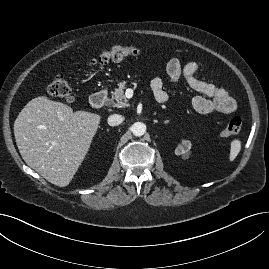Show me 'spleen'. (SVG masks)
<instances>
[{
  "label": "spleen",
  "instance_id": "3e777b00",
  "mask_svg": "<svg viewBox=\"0 0 269 269\" xmlns=\"http://www.w3.org/2000/svg\"><path fill=\"white\" fill-rule=\"evenodd\" d=\"M241 150V141L238 139H234L231 142V148H230V154H229V160L234 161L237 155L239 154Z\"/></svg>",
  "mask_w": 269,
  "mask_h": 269
}]
</instances>
